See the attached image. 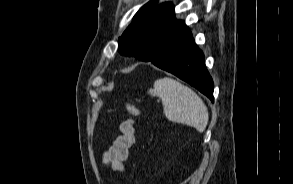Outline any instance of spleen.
I'll return each mask as SVG.
<instances>
[{
  "instance_id": "spleen-1",
  "label": "spleen",
  "mask_w": 293,
  "mask_h": 184,
  "mask_svg": "<svg viewBox=\"0 0 293 184\" xmlns=\"http://www.w3.org/2000/svg\"><path fill=\"white\" fill-rule=\"evenodd\" d=\"M152 96L161 99L164 114L169 121L194 127L197 131H205L209 114L203 100L189 87L164 77L154 82L149 89Z\"/></svg>"
}]
</instances>
